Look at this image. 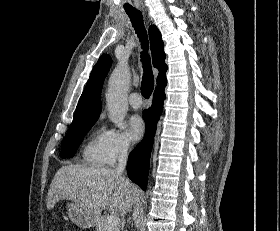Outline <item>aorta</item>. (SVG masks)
Returning <instances> with one entry per match:
<instances>
[{
    "label": "aorta",
    "mask_w": 280,
    "mask_h": 231,
    "mask_svg": "<svg viewBox=\"0 0 280 231\" xmlns=\"http://www.w3.org/2000/svg\"><path fill=\"white\" fill-rule=\"evenodd\" d=\"M130 68L128 66H116L108 82L106 102L109 112V119L119 129L125 127V116L128 112L127 94L130 82Z\"/></svg>",
    "instance_id": "762f6f07"
}]
</instances>
